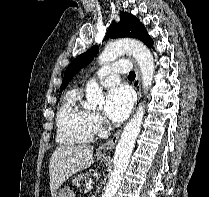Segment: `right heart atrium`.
<instances>
[{"instance_id": "right-heart-atrium-1", "label": "right heart atrium", "mask_w": 209, "mask_h": 197, "mask_svg": "<svg viewBox=\"0 0 209 197\" xmlns=\"http://www.w3.org/2000/svg\"><path fill=\"white\" fill-rule=\"evenodd\" d=\"M92 127L95 132H100L103 128V119L98 113L91 114Z\"/></svg>"}]
</instances>
